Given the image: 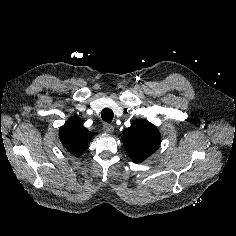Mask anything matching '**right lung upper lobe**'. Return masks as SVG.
I'll list each match as a JSON object with an SVG mask.
<instances>
[{
	"label": "right lung upper lobe",
	"instance_id": "right-lung-upper-lobe-1",
	"mask_svg": "<svg viewBox=\"0 0 236 236\" xmlns=\"http://www.w3.org/2000/svg\"><path fill=\"white\" fill-rule=\"evenodd\" d=\"M59 136L64 147L77 157L86 148L93 133L83 127L78 117H72L60 128Z\"/></svg>",
	"mask_w": 236,
	"mask_h": 236
}]
</instances>
